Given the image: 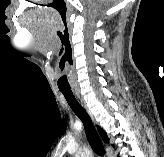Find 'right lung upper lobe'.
Listing matches in <instances>:
<instances>
[{
    "mask_svg": "<svg viewBox=\"0 0 164 157\" xmlns=\"http://www.w3.org/2000/svg\"><path fill=\"white\" fill-rule=\"evenodd\" d=\"M97 129H98L103 141L106 142V143H109V138H108L106 132L99 126L97 127Z\"/></svg>",
    "mask_w": 164,
    "mask_h": 157,
    "instance_id": "obj_1",
    "label": "right lung upper lobe"
}]
</instances>
